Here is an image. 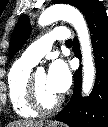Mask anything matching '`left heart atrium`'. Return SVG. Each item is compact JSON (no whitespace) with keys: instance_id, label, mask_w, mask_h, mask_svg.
I'll list each match as a JSON object with an SVG mask.
<instances>
[{"instance_id":"left-heart-atrium-1","label":"left heart atrium","mask_w":108,"mask_h":127,"mask_svg":"<svg viewBox=\"0 0 108 127\" xmlns=\"http://www.w3.org/2000/svg\"><path fill=\"white\" fill-rule=\"evenodd\" d=\"M71 73L63 60H55L47 73V85L56 95L63 94L70 86Z\"/></svg>"}]
</instances>
